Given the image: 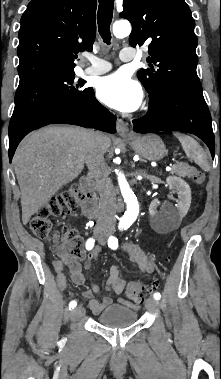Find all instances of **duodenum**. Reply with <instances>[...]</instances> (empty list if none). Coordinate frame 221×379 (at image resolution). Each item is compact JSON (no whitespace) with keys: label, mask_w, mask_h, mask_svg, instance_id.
Segmentation results:
<instances>
[{"label":"duodenum","mask_w":221,"mask_h":379,"mask_svg":"<svg viewBox=\"0 0 221 379\" xmlns=\"http://www.w3.org/2000/svg\"><path fill=\"white\" fill-rule=\"evenodd\" d=\"M81 186L84 191V198L81 204L82 211L87 217L93 218L98 210L95 192L87 179L82 180Z\"/></svg>","instance_id":"1"}]
</instances>
